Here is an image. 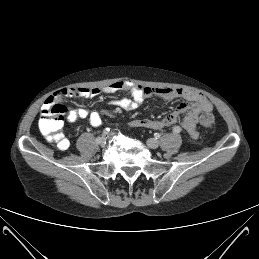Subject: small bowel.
<instances>
[{
	"label": "small bowel",
	"instance_id": "small-bowel-1",
	"mask_svg": "<svg viewBox=\"0 0 259 259\" xmlns=\"http://www.w3.org/2000/svg\"><path fill=\"white\" fill-rule=\"evenodd\" d=\"M122 90L128 91L131 95V99L113 100L110 102V105L126 111L137 109L147 98L152 96H159L167 100L175 98H182L184 100L173 113L165 116L161 120H151L147 118L132 120L129 126L133 128L144 127L161 130L176 125L180 118L183 117L180 122L181 127L191 138L196 139L198 137L197 123L199 115L202 113H210L213 109L208 99L198 91L182 88L146 87L130 81H118L103 88H63L50 96L44 102L43 108L51 101L62 98H93L101 94H114ZM80 119H88L92 126L97 127L102 124V113L100 111H90L86 108H70L67 121L75 123Z\"/></svg>",
	"mask_w": 259,
	"mask_h": 259
}]
</instances>
